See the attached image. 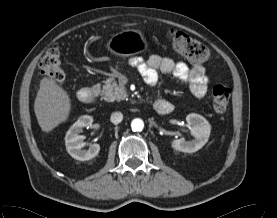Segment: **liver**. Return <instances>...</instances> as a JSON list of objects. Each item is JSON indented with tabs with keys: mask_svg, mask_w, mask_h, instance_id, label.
<instances>
[{
	"mask_svg": "<svg viewBox=\"0 0 277 218\" xmlns=\"http://www.w3.org/2000/svg\"><path fill=\"white\" fill-rule=\"evenodd\" d=\"M34 111L41 130L50 132L67 120L71 111L69 95L55 80L44 77L40 81Z\"/></svg>",
	"mask_w": 277,
	"mask_h": 218,
	"instance_id": "liver-1",
	"label": "liver"
}]
</instances>
